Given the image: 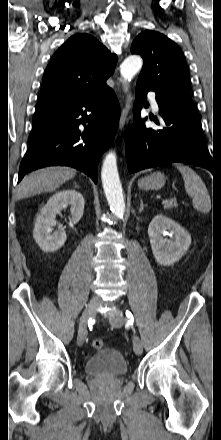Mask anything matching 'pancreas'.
Instances as JSON below:
<instances>
[{
	"label": "pancreas",
	"instance_id": "cf45deb5",
	"mask_svg": "<svg viewBox=\"0 0 221 440\" xmlns=\"http://www.w3.org/2000/svg\"><path fill=\"white\" fill-rule=\"evenodd\" d=\"M163 206L165 209L171 210L173 208L178 207V204H177V201L175 199H173V200H169V201L163 203Z\"/></svg>",
	"mask_w": 221,
	"mask_h": 440
}]
</instances>
